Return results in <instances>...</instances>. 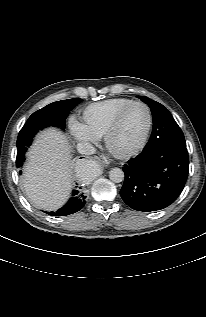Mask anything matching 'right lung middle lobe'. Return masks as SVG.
Wrapping results in <instances>:
<instances>
[{"instance_id": "dd1d6c3e", "label": "right lung middle lobe", "mask_w": 206, "mask_h": 317, "mask_svg": "<svg viewBox=\"0 0 206 317\" xmlns=\"http://www.w3.org/2000/svg\"><path fill=\"white\" fill-rule=\"evenodd\" d=\"M81 99H67L50 103L44 108L34 112L23 128L20 130L17 138V167L20 168L25 160V152L31 144L35 133L48 126L65 128L66 118L69 112L79 103Z\"/></svg>"}]
</instances>
